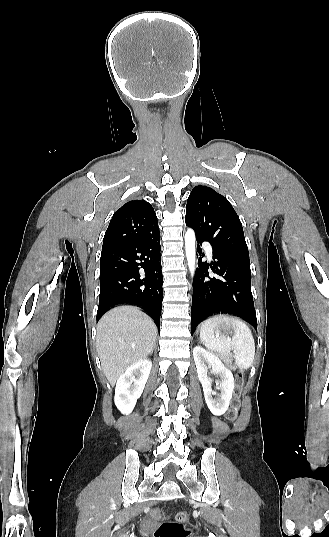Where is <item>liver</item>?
Segmentation results:
<instances>
[{"instance_id": "liver-1", "label": "liver", "mask_w": 329, "mask_h": 537, "mask_svg": "<svg viewBox=\"0 0 329 537\" xmlns=\"http://www.w3.org/2000/svg\"><path fill=\"white\" fill-rule=\"evenodd\" d=\"M157 327L139 308L120 306L107 312L97 325L96 348L111 386L134 363L153 352Z\"/></svg>"}]
</instances>
